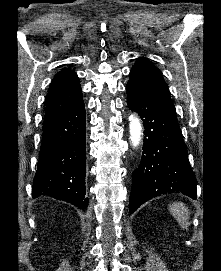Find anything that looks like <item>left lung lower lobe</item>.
Returning <instances> with one entry per match:
<instances>
[{
	"label": "left lung lower lobe",
	"instance_id": "1",
	"mask_svg": "<svg viewBox=\"0 0 221 271\" xmlns=\"http://www.w3.org/2000/svg\"><path fill=\"white\" fill-rule=\"evenodd\" d=\"M126 91L127 105L138 112L145 129L142 159L132 174L130 213L160 194L176 192L196 199L197 182L176 113L133 84L128 83Z\"/></svg>",
	"mask_w": 221,
	"mask_h": 271
}]
</instances>
